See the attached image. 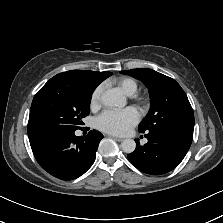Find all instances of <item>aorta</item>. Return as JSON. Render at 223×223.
Returning <instances> with one entry per match:
<instances>
[{
	"mask_svg": "<svg viewBox=\"0 0 223 223\" xmlns=\"http://www.w3.org/2000/svg\"><path fill=\"white\" fill-rule=\"evenodd\" d=\"M102 103L109 107H124L126 98L117 89H108L101 96ZM121 148L125 153H132L136 148L133 139H124L121 142Z\"/></svg>",
	"mask_w": 223,
	"mask_h": 223,
	"instance_id": "obj_1",
	"label": "aorta"
}]
</instances>
